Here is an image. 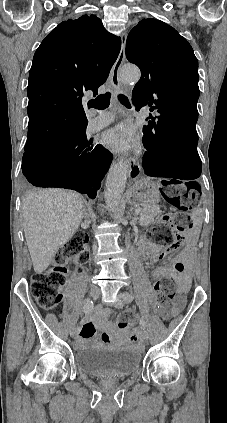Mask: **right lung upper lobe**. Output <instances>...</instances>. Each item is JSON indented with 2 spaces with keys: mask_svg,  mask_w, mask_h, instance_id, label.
I'll return each instance as SVG.
<instances>
[{
  "mask_svg": "<svg viewBox=\"0 0 227 423\" xmlns=\"http://www.w3.org/2000/svg\"><path fill=\"white\" fill-rule=\"evenodd\" d=\"M120 48L121 39L107 32L95 15L63 21L41 42L29 73L25 151L88 122L82 105L84 92L98 94ZM45 106L56 113L35 117Z\"/></svg>",
  "mask_w": 227,
  "mask_h": 423,
  "instance_id": "cb5924a9",
  "label": "right lung upper lobe"
}]
</instances>
